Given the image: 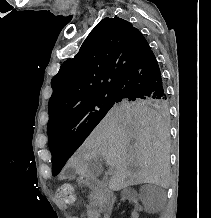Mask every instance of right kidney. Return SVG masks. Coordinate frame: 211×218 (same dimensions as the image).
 <instances>
[{
    "label": "right kidney",
    "instance_id": "right-kidney-1",
    "mask_svg": "<svg viewBox=\"0 0 211 218\" xmlns=\"http://www.w3.org/2000/svg\"><path fill=\"white\" fill-rule=\"evenodd\" d=\"M122 200L125 202H133L134 206H138L137 209H133V214H142V211L146 210V207L141 206L142 202L140 198L135 197L136 192L132 188H124L121 192ZM137 218H142V215H137Z\"/></svg>",
    "mask_w": 211,
    "mask_h": 218
}]
</instances>
